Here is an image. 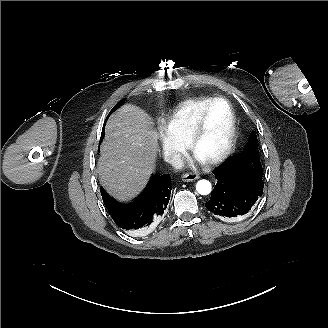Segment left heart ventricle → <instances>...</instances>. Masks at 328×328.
<instances>
[{"label": "left heart ventricle", "instance_id": "1", "mask_svg": "<svg viewBox=\"0 0 328 328\" xmlns=\"http://www.w3.org/2000/svg\"><path fill=\"white\" fill-rule=\"evenodd\" d=\"M230 111L225 103H217L208 113L205 128L199 138L195 154L208 159L218 154L226 145L230 132Z\"/></svg>", "mask_w": 328, "mask_h": 328}]
</instances>
